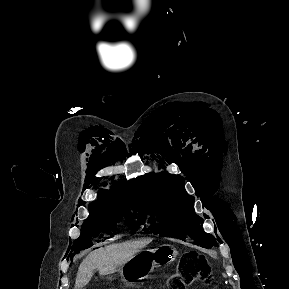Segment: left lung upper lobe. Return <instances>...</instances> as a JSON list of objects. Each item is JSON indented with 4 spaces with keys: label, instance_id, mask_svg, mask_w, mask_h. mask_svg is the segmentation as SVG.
<instances>
[{
    "label": "left lung upper lobe",
    "instance_id": "obj_1",
    "mask_svg": "<svg viewBox=\"0 0 289 289\" xmlns=\"http://www.w3.org/2000/svg\"><path fill=\"white\" fill-rule=\"evenodd\" d=\"M137 196L145 232L192 240L204 248L217 246L215 237L203 230V220L194 211V197L186 193L182 177L150 173L138 185Z\"/></svg>",
    "mask_w": 289,
    "mask_h": 289
}]
</instances>
